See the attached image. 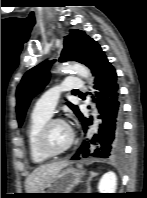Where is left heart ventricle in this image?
I'll return each instance as SVG.
<instances>
[{"mask_svg": "<svg viewBox=\"0 0 147 198\" xmlns=\"http://www.w3.org/2000/svg\"><path fill=\"white\" fill-rule=\"evenodd\" d=\"M69 140V129L63 123H55L49 130V144L55 149H61Z\"/></svg>", "mask_w": 147, "mask_h": 198, "instance_id": "obj_1", "label": "left heart ventricle"}]
</instances>
